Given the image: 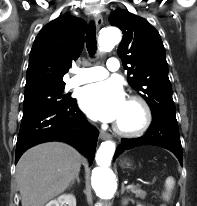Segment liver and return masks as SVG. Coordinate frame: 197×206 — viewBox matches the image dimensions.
I'll return each instance as SVG.
<instances>
[{"mask_svg":"<svg viewBox=\"0 0 197 206\" xmlns=\"http://www.w3.org/2000/svg\"><path fill=\"white\" fill-rule=\"evenodd\" d=\"M82 161L76 149L61 142L27 150L16 167L22 206H44L63 193L80 171Z\"/></svg>","mask_w":197,"mask_h":206,"instance_id":"liver-1","label":"liver"}]
</instances>
